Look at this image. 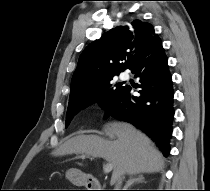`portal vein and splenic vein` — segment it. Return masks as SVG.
Instances as JSON below:
<instances>
[{
  "label": "portal vein and splenic vein",
  "instance_id": "portal-vein-and-splenic-vein-1",
  "mask_svg": "<svg viewBox=\"0 0 210 191\" xmlns=\"http://www.w3.org/2000/svg\"><path fill=\"white\" fill-rule=\"evenodd\" d=\"M82 157H85V156L83 155ZM112 170H113V163L108 162V163H106V164L103 165V171H104V173L107 174V173L111 172Z\"/></svg>",
  "mask_w": 210,
  "mask_h": 191
}]
</instances>
